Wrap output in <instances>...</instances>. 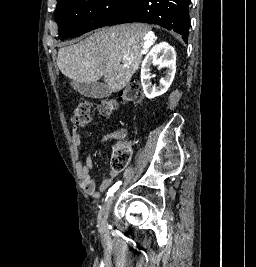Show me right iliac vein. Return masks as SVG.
Segmentation results:
<instances>
[{
    "mask_svg": "<svg viewBox=\"0 0 256 267\" xmlns=\"http://www.w3.org/2000/svg\"><path fill=\"white\" fill-rule=\"evenodd\" d=\"M113 200H114V196L110 197L106 203L104 204V206L102 207L101 211H100V214H99V226L101 228H104L105 226V222H106V219L109 215V211H110V208L112 206V203H113Z\"/></svg>",
    "mask_w": 256,
    "mask_h": 267,
    "instance_id": "1",
    "label": "right iliac vein"
}]
</instances>
